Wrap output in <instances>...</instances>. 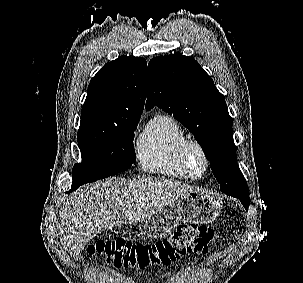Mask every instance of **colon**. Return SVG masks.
Segmentation results:
<instances>
[{
	"instance_id": "obj_1",
	"label": "colon",
	"mask_w": 303,
	"mask_h": 283,
	"mask_svg": "<svg viewBox=\"0 0 303 283\" xmlns=\"http://www.w3.org/2000/svg\"><path fill=\"white\" fill-rule=\"evenodd\" d=\"M213 230L205 225H182L171 236L153 243L99 240L88 246L90 255H99L116 268L144 269L169 265L188 254H203L213 240Z\"/></svg>"
}]
</instances>
